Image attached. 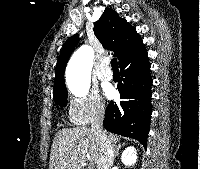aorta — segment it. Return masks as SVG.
<instances>
[{"instance_id":"obj_1","label":"aorta","mask_w":200,"mask_h":169,"mask_svg":"<svg viewBox=\"0 0 200 169\" xmlns=\"http://www.w3.org/2000/svg\"><path fill=\"white\" fill-rule=\"evenodd\" d=\"M94 52L88 45L77 49L70 58L66 69V80L71 92L84 96L90 88Z\"/></svg>"}]
</instances>
